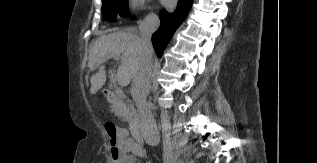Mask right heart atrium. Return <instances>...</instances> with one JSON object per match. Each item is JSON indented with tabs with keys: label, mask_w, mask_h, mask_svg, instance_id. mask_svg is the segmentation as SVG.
Wrapping results in <instances>:
<instances>
[{
	"label": "right heart atrium",
	"mask_w": 317,
	"mask_h": 163,
	"mask_svg": "<svg viewBox=\"0 0 317 163\" xmlns=\"http://www.w3.org/2000/svg\"><path fill=\"white\" fill-rule=\"evenodd\" d=\"M149 0H127V7L130 11L137 12L148 7Z\"/></svg>",
	"instance_id": "obj_1"
}]
</instances>
